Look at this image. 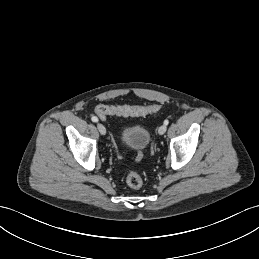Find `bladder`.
<instances>
[{
	"label": "bladder",
	"instance_id": "31cf9c89",
	"mask_svg": "<svg viewBox=\"0 0 259 259\" xmlns=\"http://www.w3.org/2000/svg\"><path fill=\"white\" fill-rule=\"evenodd\" d=\"M123 143L131 149L143 150L150 141V134L147 129L141 126H129L122 130Z\"/></svg>",
	"mask_w": 259,
	"mask_h": 259
}]
</instances>
